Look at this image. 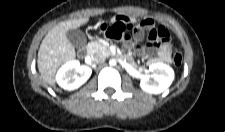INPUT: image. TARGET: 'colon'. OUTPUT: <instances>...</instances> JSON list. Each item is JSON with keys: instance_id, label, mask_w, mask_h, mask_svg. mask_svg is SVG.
Segmentation results:
<instances>
[{"instance_id": "colon-1", "label": "colon", "mask_w": 225, "mask_h": 132, "mask_svg": "<svg viewBox=\"0 0 225 132\" xmlns=\"http://www.w3.org/2000/svg\"><path fill=\"white\" fill-rule=\"evenodd\" d=\"M103 29L108 37L116 40H132L135 37V31L128 28H122L117 24L105 25L103 26ZM149 38L150 40L160 38L161 40L168 42L172 62L177 66L181 64L182 54L177 47L170 43L168 32L165 29L159 28L156 31H150Z\"/></svg>"}]
</instances>
